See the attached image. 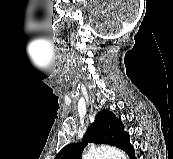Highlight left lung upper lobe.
<instances>
[{
    "label": "left lung upper lobe",
    "mask_w": 173,
    "mask_h": 159,
    "mask_svg": "<svg viewBox=\"0 0 173 159\" xmlns=\"http://www.w3.org/2000/svg\"><path fill=\"white\" fill-rule=\"evenodd\" d=\"M82 141L65 146L55 159H80L88 142L110 144L126 152L131 147L129 134L124 131L123 123L109 110L101 111L96 115L95 121L84 134Z\"/></svg>",
    "instance_id": "left-lung-upper-lobe-1"
}]
</instances>
